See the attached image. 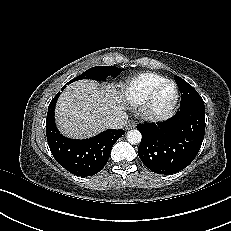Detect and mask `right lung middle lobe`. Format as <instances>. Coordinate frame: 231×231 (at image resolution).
Returning a JSON list of instances; mask_svg holds the SVG:
<instances>
[{"instance_id":"dd1d6c3e","label":"right lung middle lobe","mask_w":231,"mask_h":231,"mask_svg":"<svg viewBox=\"0 0 231 231\" xmlns=\"http://www.w3.org/2000/svg\"><path fill=\"white\" fill-rule=\"evenodd\" d=\"M121 71H123V69L115 66H96L86 70L84 73L69 82L72 83L75 80L81 79L105 80L108 76L115 78Z\"/></svg>"}]
</instances>
